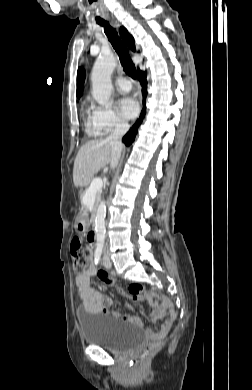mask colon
I'll use <instances>...</instances> for the list:
<instances>
[{"instance_id": "obj_1", "label": "colon", "mask_w": 252, "mask_h": 390, "mask_svg": "<svg viewBox=\"0 0 252 390\" xmlns=\"http://www.w3.org/2000/svg\"><path fill=\"white\" fill-rule=\"evenodd\" d=\"M88 240L90 242V231L88 233ZM70 252L73 261V269L76 273H82L86 271L92 265V253L89 247L82 243L79 237H74L70 243ZM107 274V273H106ZM144 290L140 284L133 283L128 287L129 295H136ZM158 343H153L145 346L140 353V360L146 361L157 349Z\"/></svg>"}]
</instances>
